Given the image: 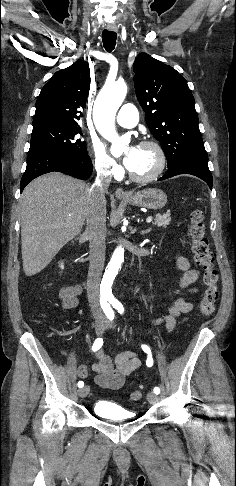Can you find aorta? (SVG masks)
<instances>
[{
	"label": "aorta",
	"mask_w": 236,
	"mask_h": 486,
	"mask_svg": "<svg viewBox=\"0 0 236 486\" xmlns=\"http://www.w3.org/2000/svg\"><path fill=\"white\" fill-rule=\"evenodd\" d=\"M127 94V85L124 82L106 83L100 91L93 111L95 125L101 135L111 142V153L122 150L123 138L119 137L115 129V115ZM124 261V248L117 247L103 275L100 286L102 296L112 294L113 281Z\"/></svg>",
	"instance_id": "aorta-1"
}]
</instances>
